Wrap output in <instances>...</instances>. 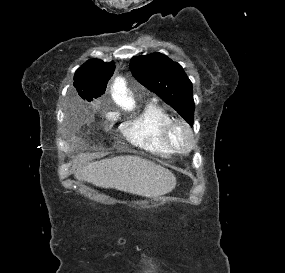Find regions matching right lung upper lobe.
<instances>
[{"label":"right lung upper lobe","mask_w":285,"mask_h":273,"mask_svg":"<svg viewBox=\"0 0 285 273\" xmlns=\"http://www.w3.org/2000/svg\"><path fill=\"white\" fill-rule=\"evenodd\" d=\"M115 70L113 62L106 63L91 59L77 69L74 76V87L83 99L91 101L104 94L106 84Z\"/></svg>","instance_id":"obj_1"}]
</instances>
